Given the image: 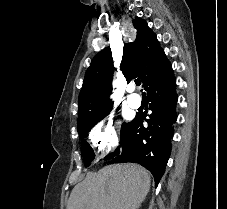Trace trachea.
Instances as JSON below:
<instances>
[{"label": "trachea", "mask_w": 227, "mask_h": 209, "mask_svg": "<svg viewBox=\"0 0 227 209\" xmlns=\"http://www.w3.org/2000/svg\"><path fill=\"white\" fill-rule=\"evenodd\" d=\"M135 84H136V85H140V84H141V81H140L139 79H136V80H135Z\"/></svg>", "instance_id": "trachea-1"}]
</instances>
